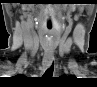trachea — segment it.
<instances>
[{
  "label": "trachea",
  "instance_id": "obj_1",
  "mask_svg": "<svg viewBox=\"0 0 97 87\" xmlns=\"http://www.w3.org/2000/svg\"><path fill=\"white\" fill-rule=\"evenodd\" d=\"M54 66L51 65L44 73L43 78H50L53 75Z\"/></svg>",
  "mask_w": 97,
  "mask_h": 87
}]
</instances>
